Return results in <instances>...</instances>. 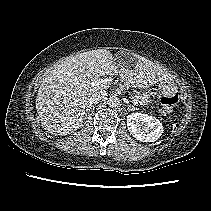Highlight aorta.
<instances>
[{"mask_svg":"<svg viewBox=\"0 0 211 211\" xmlns=\"http://www.w3.org/2000/svg\"><path fill=\"white\" fill-rule=\"evenodd\" d=\"M120 103V99L116 96H111L109 97V100H108V105L111 107V108H115L119 105Z\"/></svg>","mask_w":211,"mask_h":211,"instance_id":"762f6f07","label":"aorta"}]
</instances>
